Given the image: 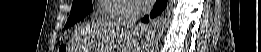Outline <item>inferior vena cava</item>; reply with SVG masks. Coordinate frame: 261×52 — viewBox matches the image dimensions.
I'll return each mask as SVG.
<instances>
[{
  "instance_id": "obj_1",
  "label": "inferior vena cava",
  "mask_w": 261,
  "mask_h": 52,
  "mask_svg": "<svg viewBox=\"0 0 261 52\" xmlns=\"http://www.w3.org/2000/svg\"><path fill=\"white\" fill-rule=\"evenodd\" d=\"M140 12L136 5L132 2L127 1L123 3L121 18L118 21V25L124 27L127 31L128 29L135 26Z\"/></svg>"
}]
</instances>
